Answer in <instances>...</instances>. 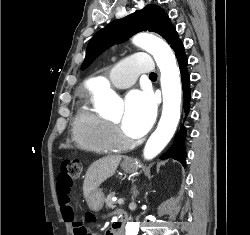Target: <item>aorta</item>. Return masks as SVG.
<instances>
[{
  "label": "aorta",
  "mask_w": 250,
  "mask_h": 235,
  "mask_svg": "<svg viewBox=\"0 0 250 235\" xmlns=\"http://www.w3.org/2000/svg\"><path fill=\"white\" fill-rule=\"evenodd\" d=\"M132 41L154 57L161 72L163 110L157 129L144 148V157L149 160L165 148L176 131L180 119L181 82L175 56L166 42L147 33L137 34ZM89 85L96 96L101 95L106 102L110 103L113 112H120L119 98L114 92L108 90V81L105 78L94 79ZM138 232L139 222L127 223L125 235H137Z\"/></svg>",
  "instance_id": "762f6f07"
}]
</instances>
